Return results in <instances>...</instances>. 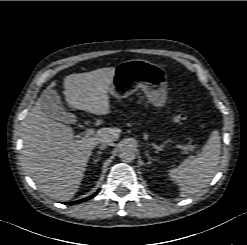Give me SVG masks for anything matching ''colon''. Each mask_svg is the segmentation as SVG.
Instances as JSON below:
<instances>
[{"label": "colon", "instance_id": "obj_1", "mask_svg": "<svg viewBox=\"0 0 247 245\" xmlns=\"http://www.w3.org/2000/svg\"><path fill=\"white\" fill-rule=\"evenodd\" d=\"M186 120H187V116L184 115V114H180V115H177L175 117V122H177L179 124H182V123L186 122Z\"/></svg>", "mask_w": 247, "mask_h": 245}]
</instances>
